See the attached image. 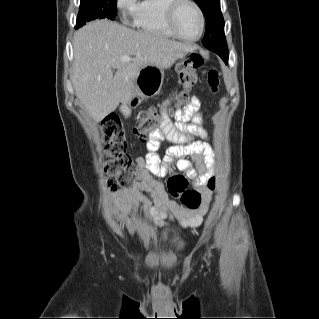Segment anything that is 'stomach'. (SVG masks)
Returning a JSON list of instances; mask_svg holds the SVG:
<instances>
[{
    "label": "stomach",
    "mask_w": 319,
    "mask_h": 319,
    "mask_svg": "<svg viewBox=\"0 0 319 319\" xmlns=\"http://www.w3.org/2000/svg\"><path fill=\"white\" fill-rule=\"evenodd\" d=\"M164 73L154 65L142 67L136 77V91L141 98L157 94L163 84Z\"/></svg>",
    "instance_id": "stomach-1"
}]
</instances>
